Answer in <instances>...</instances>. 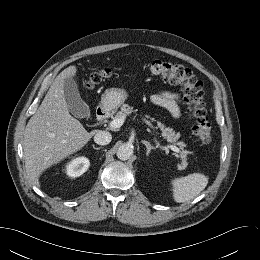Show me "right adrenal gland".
I'll list each match as a JSON object with an SVG mask.
<instances>
[{"mask_svg":"<svg viewBox=\"0 0 260 260\" xmlns=\"http://www.w3.org/2000/svg\"><path fill=\"white\" fill-rule=\"evenodd\" d=\"M93 148H94L95 150H100V149H101V147H95L94 145H93Z\"/></svg>","mask_w":260,"mask_h":260,"instance_id":"right-adrenal-gland-1","label":"right adrenal gland"}]
</instances>
